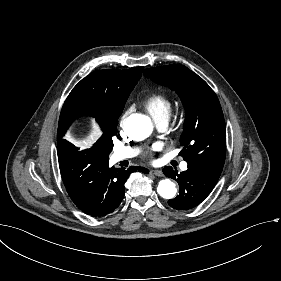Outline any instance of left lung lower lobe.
I'll return each mask as SVG.
<instances>
[{"mask_svg":"<svg viewBox=\"0 0 281 281\" xmlns=\"http://www.w3.org/2000/svg\"><path fill=\"white\" fill-rule=\"evenodd\" d=\"M164 174L177 180L179 195L168 201V204L178 210H188L199 205L212 191L219 177L212 175L205 169L188 164L186 171H174L168 166L163 169Z\"/></svg>","mask_w":281,"mask_h":281,"instance_id":"1","label":"left lung lower lobe"}]
</instances>
